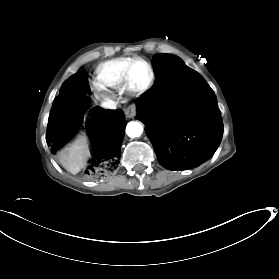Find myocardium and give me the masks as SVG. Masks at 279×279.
<instances>
[{
	"label": "myocardium",
	"instance_id": "myocardium-1",
	"mask_svg": "<svg viewBox=\"0 0 279 279\" xmlns=\"http://www.w3.org/2000/svg\"><path fill=\"white\" fill-rule=\"evenodd\" d=\"M137 62L145 63L148 66L149 72H150V77H149L148 82L142 87H136L131 82L132 67ZM155 78H156L155 70L153 68V65L148 60L141 58V57L131 58V60L129 61L128 65L126 66L125 72H124V89L131 96L140 97L151 90V88L153 87V85L155 83Z\"/></svg>",
	"mask_w": 279,
	"mask_h": 279
}]
</instances>
